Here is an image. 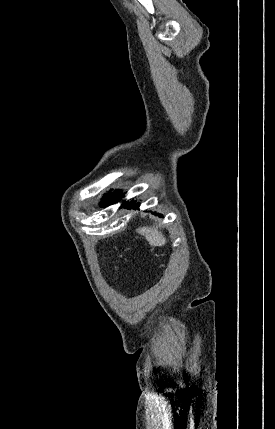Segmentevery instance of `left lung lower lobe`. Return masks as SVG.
Here are the masks:
<instances>
[{"label": "left lung lower lobe", "mask_w": 275, "mask_h": 429, "mask_svg": "<svg viewBox=\"0 0 275 429\" xmlns=\"http://www.w3.org/2000/svg\"><path fill=\"white\" fill-rule=\"evenodd\" d=\"M123 205H125L124 207L125 208H128V209H131V208H133V209H138V207H139V203H135V202H130V203H123ZM155 215H158L159 217H162V215H159V214H157V213H154Z\"/></svg>", "instance_id": "obj_1"}]
</instances>
